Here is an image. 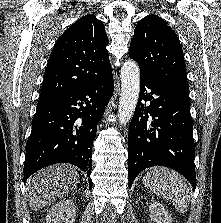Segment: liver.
<instances>
[{"instance_id":"1","label":"liver","mask_w":221,"mask_h":223,"mask_svg":"<svg viewBox=\"0 0 221 223\" xmlns=\"http://www.w3.org/2000/svg\"><path fill=\"white\" fill-rule=\"evenodd\" d=\"M79 183V174L70 164H55L46 167L26 182L29 206L37 211L69 194Z\"/></svg>"}]
</instances>
